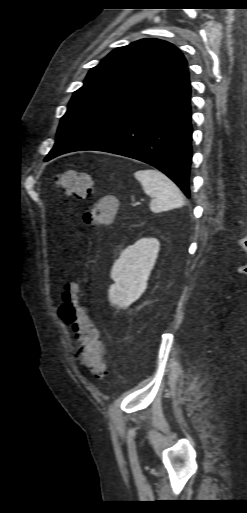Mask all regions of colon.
I'll return each mask as SVG.
<instances>
[{"label":"colon","mask_w":247,"mask_h":513,"mask_svg":"<svg viewBox=\"0 0 247 513\" xmlns=\"http://www.w3.org/2000/svg\"><path fill=\"white\" fill-rule=\"evenodd\" d=\"M58 182L68 196L77 199H85L93 190L90 175L77 170L62 172L58 176ZM116 210L117 202L112 196H106L99 204L87 209L84 221L98 227H106L114 220ZM59 313L78 341L74 355L79 361L80 369L87 371L89 375L102 378L106 374V365L103 361L105 348L98 340V329L88 310L80 303L79 287L76 283L71 282L64 287Z\"/></svg>","instance_id":"5ec220e1"}]
</instances>
